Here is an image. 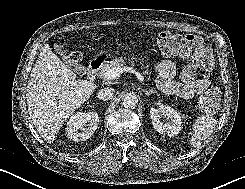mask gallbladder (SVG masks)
Instances as JSON below:
<instances>
[{
	"label": "gallbladder",
	"instance_id": "1",
	"mask_svg": "<svg viewBox=\"0 0 245 189\" xmlns=\"http://www.w3.org/2000/svg\"><path fill=\"white\" fill-rule=\"evenodd\" d=\"M53 49L56 54L62 57V60L66 66H68L71 70L78 74L86 73V67L80 64L77 60L72 59L70 55H67L68 50L63 45L54 43Z\"/></svg>",
	"mask_w": 245,
	"mask_h": 189
}]
</instances>
